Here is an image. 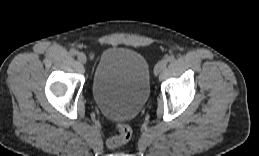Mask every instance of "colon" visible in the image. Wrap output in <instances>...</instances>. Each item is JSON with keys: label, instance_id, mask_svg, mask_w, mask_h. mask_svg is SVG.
I'll return each instance as SVG.
<instances>
[{"label": "colon", "instance_id": "obj_1", "mask_svg": "<svg viewBox=\"0 0 259 156\" xmlns=\"http://www.w3.org/2000/svg\"><path fill=\"white\" fill-rule=\"evenodd\" d=\"M116 128L118 132L117 135L111 137L108 140V146L111 148H115L123 144H126L132 136V130L128 125L119 123L117 124Z\"/></svg>", "mask_w": 259, "mask_h": 156}]
</instances>
